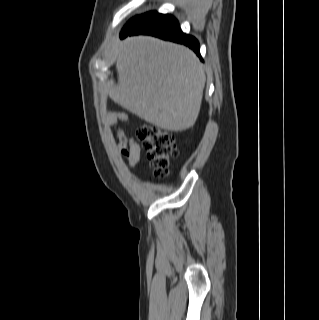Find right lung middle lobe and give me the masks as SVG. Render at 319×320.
Wrapping results in <instances>:
<instances>
[{"instance_id":"obj_1","label":"right lung middle lobe","mask_w":319,"mask_h":320,"mask_svg":"<svg viewBox=\"0 0 319 320\" xmlns=\"http://www.w3.org/2000/svg\"><path fill=\"white\" fill-rule=\"evenodd\" d=\"M157 12H149L146 14H143L141 16H137L133 19H131L127 25L125 26V28H134L140 24H142L143 22L147 21L148 19L152 18L153 16L157 15Z\"/></svg>"}]
</instances>
